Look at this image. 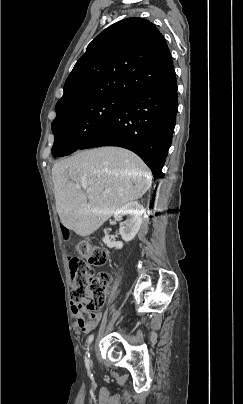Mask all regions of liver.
I'll return each mask as SVG.
<instances>
[{
  "label": "liver",
  "instance_id": "obj_1",
  "mask_svg": "<svg viewBox=\"0 0 243 404\" xmlns=\"http://www.w3.org/2000/svg\"><path fill=\"white\" fill-rule=\"evenodd\" d=\"M52 180L60 222L78 236L96 232L113 212L142 198L152 184L149 168L123 148L78 152L54 164Z\"/></svg>",
  "mask_w": 243,
  "mask_h": 404
}]
</instances>
